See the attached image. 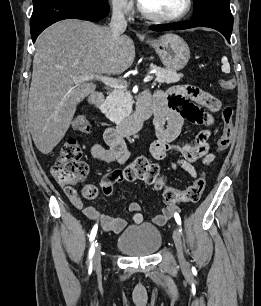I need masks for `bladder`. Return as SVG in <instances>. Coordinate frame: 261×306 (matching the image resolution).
Segmentation results:
<instances>
[{"label":"bladder","mask_w":261,"mask_h":306,"mask_svg":"<svg viewBox=\"0 0 261 306\" xmlns=\"http://www.w3.org/2000/svg\"><path fill=\"white\" fill-rule=\"evenodd\" d=\"M161 244L160 230L150 223L129 226L116 239L117 249L134 257L153 255Z\"/></svg>","instance_id":"obj_1"}]
</instances>
